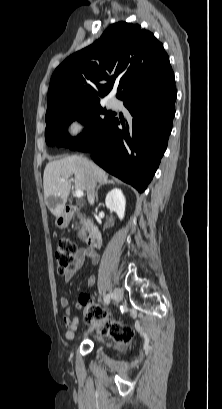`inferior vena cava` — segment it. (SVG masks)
<instances>
[{
  "mask_svg": "<svg viewBox=\"0 0 222 409\" xmlns=\"http://www.w3.org/2000/svg\"><path fill=\"white\" fill-rule=\"evenodd\" d=\"M83 162L87 169V179H88V191H87V199L88 202L93 205L95 200V187L98 181L95 173L93 172L89 161L86 158H83Z\"/></svg>",
  "mask_w": 222,
  "mask_h": 409,
  "instance_id": "inferior-vena-cava-1",
  "label": "inferior vena cava"
}]
</instances>
